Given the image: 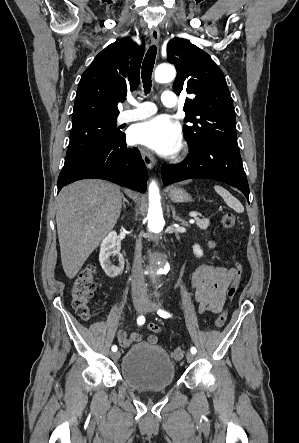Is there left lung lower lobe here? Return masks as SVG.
I'll use <instances>...</instances> for the list:
<instances>
[{
  "instance_id": "obj_1",
  "label": "left lung lower lobe",
  "mask_w": 299,
  "mask_h": 443,
  "mask_svg": "<svg viewBox=\"0 0 299 443\" xmlns=\"http://www.w3.org/2000/svg\"><path fill=\"white\" fill-rule=\"evenodd\" d=\"M161 176L164 185L191 178L218 180L238 188L249 201V185L239 149L226 142L209 140L190 147L183 162L163 165Z\"/></svg>"
}]
</instances>
